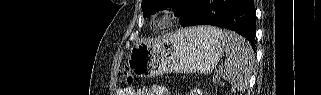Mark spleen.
<instances>
[{"label":"spleen","instance_id":"obj_1","mask_svg":"<svg viewBox=\"0 0 321 95\" xmlns=\"http://www.w3.org/2000/svg\"><path fill=\"white\" fill-rule=\"evenodd\" d=\"M206 36L222 41L227 60L222 75L225 80L237 89H243L248 84V77L254 63V53L249 42L235 32L221 31L214 27H200Z\"/></svg>","mask_w":321,"mask_h":95}]
</instances>
